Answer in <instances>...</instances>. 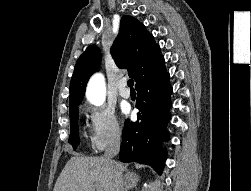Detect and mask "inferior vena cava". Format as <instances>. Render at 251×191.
Listing matches in <instances>:
<instances>
[{
	"instance_id": "1",
	"label": "inferior vena cava",
	"mask_w": 251,
	"mask_h": 191,
	"mask_svg": "<svg viewBox=\"0 0 251 191\" xmlns=\"http://www.w3.org/2000/svg\"><path fill=\"white\" fill-rule=\"evenodd\" d=\"M120 143H121V129L120 127H118V129H115L112 139H110V143L103 155L104 159H108V161H111V157H114V155H117V153H119ZM116 179L118 183L116 191H125L123 187V177L122 175H120V173L116 175Z\"/></svg>"
}]
</instances>
